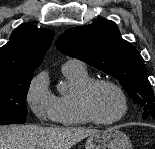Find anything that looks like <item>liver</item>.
<instances>
[{
    "label": "liver",
    "mask_w": 155,
    "mask_h": 149,
    "mask_svg": "<svg viewBox=\"0 0 155 149\" xmlns=\"http://www.w3.org/2000/svg\"><path fill=\"white\" fill-rule=\"evenodd\" d=\"M98 131L82 127L0 126V149H71L75 144Z\"/></svg>",
    "instance_id": "1"
}]
</instances>
